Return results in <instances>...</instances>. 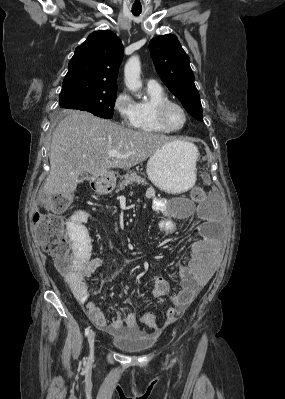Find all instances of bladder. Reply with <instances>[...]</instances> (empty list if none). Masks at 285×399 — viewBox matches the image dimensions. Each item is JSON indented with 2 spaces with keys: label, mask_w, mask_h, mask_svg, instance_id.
Instances as JSON below:
<instances>
[{
  "label": "bladder",
  "mask_w": 285,
  "mask_h": 399,
  "mask_svg": "<svg viewBox=\"0 0 285 399\" xmlns=\"http://www.w3.org/2000/svg\"><path fill=\"white\" fill-rule=\"evenodd\" d=\"M154 342L150 334L138 332L135 336L117 337L112 343L126 353H142L150 350Z\"/></svg>",
  "instance_id": "31cf9c89"
}]
</instances>
